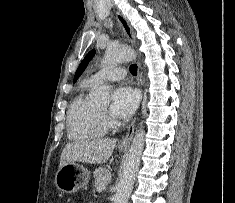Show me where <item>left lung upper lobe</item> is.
<instances>
[{
  "instance_id": "left-lung-upper-lobe-1",
  "label": "left lung upper lobe",
  "mask_w": 235,
  "mask_h": 203,
  "mask_svg": "<svg viewBox=\"0 0 235 203\" xmlns=\"http://www.w3.org/2000/svg\"><path fill=\"white\" fill-rule=\"evenodd\" d=\"M95 54V50L90 51L86 57L84 58V60L81 62V64L79 65L75 77H74V82L79 78V76L83 73V71L85 70V68L87 67L89 61L92 59V57Z\"/></svg>"
}]
</instances>
